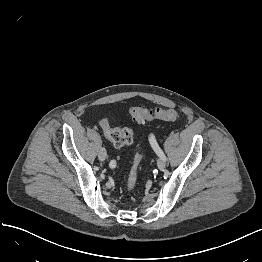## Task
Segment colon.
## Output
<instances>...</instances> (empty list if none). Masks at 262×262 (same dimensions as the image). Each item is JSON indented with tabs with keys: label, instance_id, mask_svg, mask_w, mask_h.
<instances>
[{
	"label": "colon",
	"instance_id": "5ec220e1",
	"mask_svg": "<svg viewBox=\"0 0 262 262\" xmlns=\"http://www.w3.org/2000/svg\"><path fill=\"white\" fill-rule=\"evenodd\" d=\"M130 113L137 121H150L154 119L175 121L180 118L179 113L172 108L147 109L144 107H132ZM101 125L106 137L117 148L129 144L133 139V130L131 128H112L106 119L102 120ZM153 143L154 142H152V144ZM142 157L143 154L138 153L133 159L126 183V189L129 192L134 191L137 186L139 166Z\"/></svg>",
	"mask_w": 262,
	"mask_h": 262
}]
</instances>
